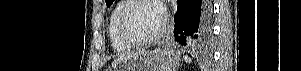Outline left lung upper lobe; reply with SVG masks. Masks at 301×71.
<instances>
[{
  "instance_id": "1",
  "label": "left lung upper lobe",
  "mask_w": 301,
  "mask_h": 71,
  "mask_svg": "<svg viewBox=\"0 0 301 71\" xmlns=\"http://www.w3.org/2000/svg\"><path fill=\"white\" fill-rule=\"evenodd\" d=\"M105 1L107 3V6H110L113 3L114 0H105Z\"/></svg>"
}]
</instances>
